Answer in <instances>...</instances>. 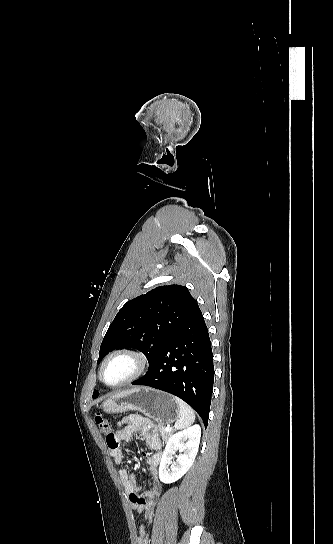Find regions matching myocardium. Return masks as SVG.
Wrapping results in <instances>:
<instances>
[{"label":"myocardium","instance_id":"1","mask_svg":"<svg viewBox=\"0 0 333 544\" xmlns=\"http://www.w3.org/2000/svg\"><path fill=\"white\" fill-rule=\"evenodd\" d=\"M120 356H127V357L131 358L135 363V368H134L133 372L128 377L123 379L122 381H120L118 383H115V384H108L104 380V376H103L104 369H105L106 365L112 359H114L116 357H120ZM148 367H149V361H148L147 357L143 353H141V352H139L137 350H134V349L121 348V349H117V350L113 351L112 353H110L104 359V361L102 362V364L100 366V369H99V378L106 386H108L110 388H119V387H123V386H125L127 384H130V383L136 381L137 379H139L142 375L145 374Z\"/></svg>","mask_w":333,"mask_h":544}]
</instances>
